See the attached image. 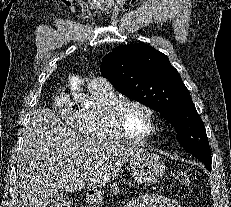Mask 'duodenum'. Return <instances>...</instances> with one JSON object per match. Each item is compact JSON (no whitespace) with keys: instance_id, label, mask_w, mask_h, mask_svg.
<instances>
[{"instance_id":"duodenum-1","label":"duodenum","mask_w":231,"mask_h":207,"mask_svg":"<svg viewBox=\"0 0 231 207\" xmlns=\"http://www.w3.org/2000/svg\"><path fill=\"white\" fill-rule=\"evenodd\" d=\"M87 197H88V200L92 201L95 198V194L94 193H89L87 195Z\"/></svg>"}]
</instances>
